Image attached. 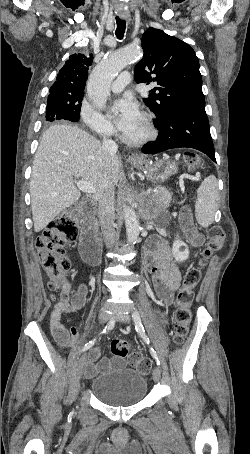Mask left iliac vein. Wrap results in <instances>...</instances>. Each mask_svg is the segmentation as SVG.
Wrapping results in <instances>:
<instances>
[{"mask_svg":"<svg viewBox=\"0 0 250 454\" xmlns=\"http://www.w3.org/2000/svg\"><path fill=\"white\" fill-rule=\"evenodd\" d=\"M112 319H114L118 322H121V323H128L130 321L129 315H127L125 313H116L112 316ZM160 378H161V372H160L159 367L156 366L153 370V380L155 382H159Z\"/></svg>","mask_w":250,"mask_h":454,"instance_id":"1","label":"left iliac vein"}]
</instances>
